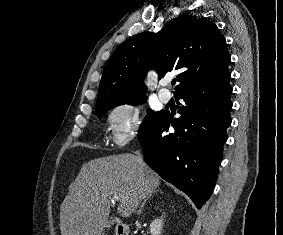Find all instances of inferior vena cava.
<instances>
[{
  "label": "inferior vena cava",
  "mask_w": 283,
  "mask_h": 235,
  "mask_svg": "<svg viewBox=\"0 0 283 235\" xmlns=\"http://www.w3.org/2000/svg\"><path fill=\"white\" fill-rule=\"evenodd\" d=\"M136 154H137V160H138V162H139L140 164H143V157H142L140 151H137Z\"/></svg>",
  "instance_id": "1"
}]
</instances>
